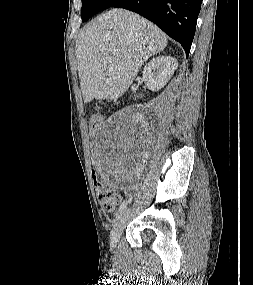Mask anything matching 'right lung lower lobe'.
Here are the masks:
<instances>
[{
	"label": "right lung lower lobe",
	"mask_w": 253,
	"mask_h": 285,
	"mask_svg": "<svg viewBox=\"0 0 253 285\" xmlns=\"http://www.w3.org/2000/svg\"><path fill=\"white\" fill-rule=\"evenodd\" d=\"M202 0H118L111 7L125 8L154 22L178 41L188 57Z\"/></svg>",
	"instance_id": "right-lung-lower-lobe-1"
}]
</instances>
